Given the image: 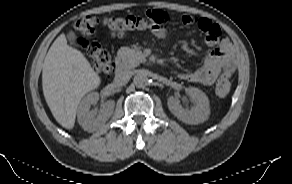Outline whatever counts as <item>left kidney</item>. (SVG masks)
<instances>
[{"mask_svg":"<svg viewBox=\"0 0 292 184\" xmlns=\"http://www.w3.org/2000/svg\"><path fill=\"white\" fill-rule=\"evenodd\" d=\"M190 98L196 105L190 110H185L178 99L169 97L167 104L168 108L173 115L179 120L187 124H200L206 121L210 114L209 100L206 94L195 87L188 89Z\"/></svg>","mask_w":292,"mask_h":184,"instance_id":"left-kidney-1","label":"left kidney"}]
</instances>
